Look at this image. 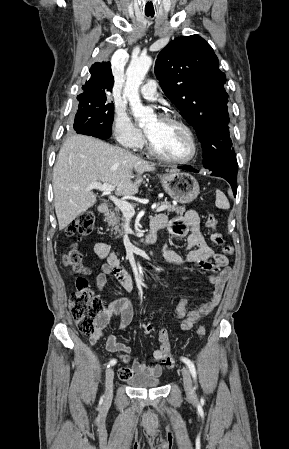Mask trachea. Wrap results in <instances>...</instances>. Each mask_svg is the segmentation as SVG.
<instances>
[{
	"mask_svg": "<svg viewBox=\"0 0 289 449\" xmlns=\"http://www.w3.org/2000/svg\"><path fill=\"white\" fill-rule=\"evenodd\" d=\"M147 17H153L154 13H145Z\"/></svg>",
	"mask_w": 289,
	"mask_h": 449,
	"instance_id": "trachea-1",
	"label": "trachea"
}]
</instances>
